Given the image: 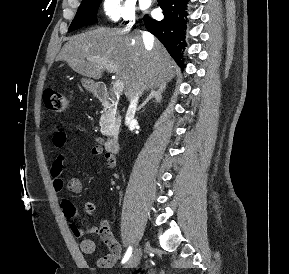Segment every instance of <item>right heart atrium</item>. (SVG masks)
Listing matches in <instances>:
<instances>
[{
    "label": "right heart atrium",
    "instance_id": "right-heart-atrium-1",
    "mask_svg": "<svg viewBox=\"0 0 289 274\" xmlns=\"http://www.w3.org/2000/svg\"><path fill=\"white\" fill-rule=\"evenodd\" d=\"M102 14L113 24L130 27L136 20V9L133 0H102Z\"/></svg>",
    "mask_w": 289,
    "mask_h": 274
}]
</instances>
